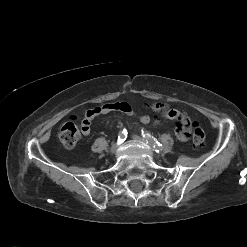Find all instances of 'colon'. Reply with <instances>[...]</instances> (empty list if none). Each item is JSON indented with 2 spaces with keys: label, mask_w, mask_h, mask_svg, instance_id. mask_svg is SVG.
<instances>
[{
  "label": "colon",
  "mask_w": 247,
  "mask_h": 247,
  "mask_svg": "<svg viewBox=\"0 0 247 247\" xmlns=\"http://www.w3.org/2000/svg\"><path fill=\"white\" fill-rule=\"evenodd\" d=\"M152 108L156 112H166V106L164 104H155ZM80 136L79 126L74 120L62 124L59 131V139L64 147L73 148L79 141ZM191 140L196 147H200L204 143L205 132L198 123L192 125Z\"/></svg>",
  "instance_id": "obj_1"
}]
</instances>
